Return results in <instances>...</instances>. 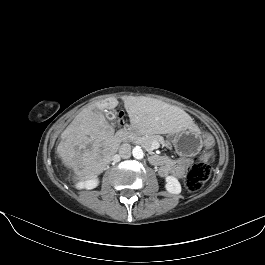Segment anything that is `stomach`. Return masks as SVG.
I'll list each match as a JSON object with an SVG mask.
<instances>
[{"mask_svg": "<svg viewBox=\"0 0 265 265\" xmlns=\"http://www.w3.org/2000/svg\"><path fill=\"white\" fill-rule=\"evenodd\" d=\"M167 140L181 156H195L202 147L200 135L190 129L178 133H168Z\"/></svg>", "mask_w": 265, "mask_h": 265, "instance_id": "1", "label": "stomach"}]
</instances>
